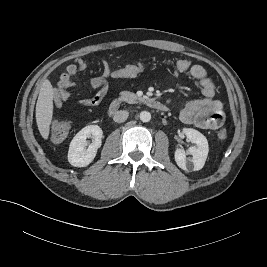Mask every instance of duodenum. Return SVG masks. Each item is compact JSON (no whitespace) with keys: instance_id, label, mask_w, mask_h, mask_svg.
I'll use <instances>...</instances> for the list:
<instances>
[{"instance_id":"410a0bca","label":"duodenum","mask_w":267,"mask_h":267,"mask_svg":"<svg viewBox=\"0 0 267 267\" xmlns=\"http://www.w3.org/2000/svg\"><path fill=\"white\" fill-rule=\"evenodd\" d=\"M144 102L151 108L157 110V111H161V112H166L168 111V107L160 102L157 99L154 98H145ZM122 106V101L120 99H116L114 101H112L108 107V114L109 115H113L115 114Z\"/></svg>"}]
</instances>
